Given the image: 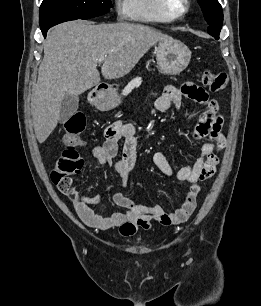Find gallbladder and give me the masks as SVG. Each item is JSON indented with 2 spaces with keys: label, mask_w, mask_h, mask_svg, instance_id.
Returning a JSON list of instances; mask_svg holds the SVG:
<instances>
[{
  "label": "gallbladder",
  "mask_w": 261,
  "mask_h": 306,
  "mask_svg": "<svg viewBox=\"0 0 261 306\" xmlns=\"http://www.w3.org/2000/svg\"><path fill=\"white\" fill-rule=\"evenodd\" d=\"M79 105L78 96L66 94L61 102L59 122L65 123L77 111Z\"/></svg>",
  "instance_id": "obj_1"
}]
</instances>
